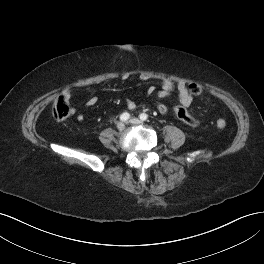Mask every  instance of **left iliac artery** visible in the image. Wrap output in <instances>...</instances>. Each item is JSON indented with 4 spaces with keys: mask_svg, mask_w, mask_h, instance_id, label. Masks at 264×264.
<instances>
[{
    "mask_svg": "<svg viewBox=\"0 0 264 264\" xmlns=\"http://www.w3.org/2000/svg\"><path fill=\"white\" fill-rule=\"evenodd\" d=\"M139 117H140V119H141L142 121H145V120H147V118H148L147 114H145V113L140 114Z\"/></svg>",
    "mask_w": 264,
    "mask_h": 264,
    "instance_id": "1",
    "label": "left iliac artery"
}]
</instances>
